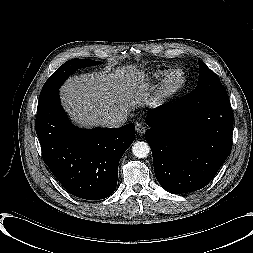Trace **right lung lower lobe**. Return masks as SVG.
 <instances>
[{
  "label": "right lung lower lobe",
  "mask_w": 253,
  "mask_h": 253,
  "mask_svg": "<svg viewBox=\"0 0 253 253\" xmlns=\"http://www.w3.org/2000/svg\"><path fill=\"white\" fill-rule=\"evenodd\" d=\"M35 128L45 164L68 192L87 200L104 199L114 192L119 161L135 139L133 124L76 128L57 92L38 107Z\"/></svg>",
  "instance_id": "98d812e1"
}]
</instances>
